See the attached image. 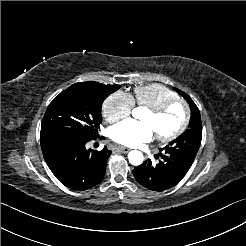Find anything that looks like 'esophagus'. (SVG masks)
Here are the masks:
<instances>
[{
	"label": "esophagus",
	"instance_id": "esophagus-1",
	"mask_svg": "<svg viewBox=\"0 0 246 246\" xmlns=\"http://www.w3.org/2000/svg\"><path fill=\"white\" fill-rule=\"evenodd\" d=\"M115 151H118V152H121V153H128L130 151L129 148H126V147H114Z\"/></svg>",
	"mask_w": 246,
	"mask_h": 246
}]
</instances>
